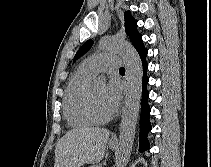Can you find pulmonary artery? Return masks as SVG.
I'll list each match as a JSON object with an SVG mask.
<instances>
[{"mask_svg": "<svg viewBox=\"0 0 211 167\" xmlns=\"http://www.w3.org/2000/svg\"><path fill=\"white\" fill-rule=\"evenodd\" d=\"M121 58L114 54L101 53L84 59L81 66L93 75L107 70L118 69L121 66Z\"/></svg>", "mask_w": 211, "mask_h": 167, "instance_id": "1", "label": "pulmonary artery"}]
</instances>
